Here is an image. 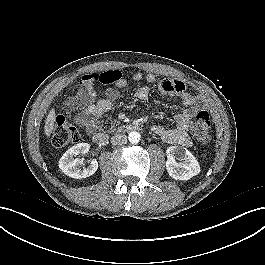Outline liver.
Returning a JSON list of instances; mask_svg holds the SVG:
<instances>
[{
  "instance_id": "obj_1",
  "label": "liver",
  "mask_w": 265,
  "mask_h": 265,
  "mask_svg": "<svg viewBox=\"0 0 265 265\" xmlns=\"http://www.w3.org/2000/svg\"><path fill=\"white\" fill-rule=\"evenodd\" d=\"M56 119L55 110L51 109L45 120L44 132L47 137H49L54 129V123Z\"/></svg>"
}]
</instances>
